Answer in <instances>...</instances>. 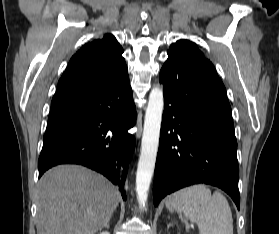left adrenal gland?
Here are the masks:
<instances>
[{"label": "left adrenal gland", "instance_id": "left-adrenal-gland-1", "mask_svg": "<svg viewBox=\"0 0 279 234\" xmlns=\"http://www.w3.org/2000/svg\"><path fill=\"white\" fill-rule=\"evenodd\" d=\"M172 226V224L171 223H169L168 225H167V229H169V227H171Z\"/></svg>", "mask_w": 279, "mask_h": 234}]
</instances>
